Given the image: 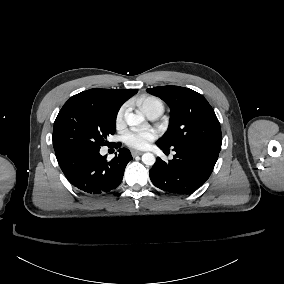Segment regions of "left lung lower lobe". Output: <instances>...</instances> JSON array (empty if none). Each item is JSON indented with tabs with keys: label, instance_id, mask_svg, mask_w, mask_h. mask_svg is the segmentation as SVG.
Masks as SVG:
<instances>
[{
	"label": "left lung lower lobe",
	"instance_id": "1",
	"mask_svg": "<svg viewBox=\"0 0 284 284\" xmlns=\"http://www.w3.org/2000/svg\"><path fill=\"white\" fill-rule=\"evenodd\" d=\"M157 145L170 148L157 141ZM176 152L168 163L159 157L149 170L152 183L159 189L174 194H190L211 175L218 152L194 145L171 146Z\"/></svg>",
	"mask_w": 284,
	"mask_h": 284
}]
</instances>
